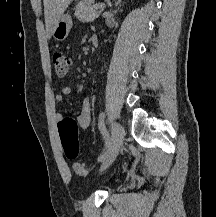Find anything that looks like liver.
I'll return each instance as SVG.
<instances>
[{
  "label": "liver",
  "mask_w": 216,
  "mask_h": 217,
  "mask_svg": "<svg viewBox=\"0 0 216 217\" xmlns=\"http://www.w3.org/2000/svg\"><path fill=\"white\" fill-rule=\"evenodd\" d=\"M71 1L73 0H43L46 32L48 38L52 36V32L56 23L64 14Z\"/></svg>",
  "instance_id": "obj_1"
}]
</instances>
